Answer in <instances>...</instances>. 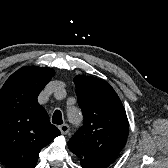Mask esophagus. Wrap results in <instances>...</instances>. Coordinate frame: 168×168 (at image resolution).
Segmentation results:
<instances>
[{
	"mask_svg": "<svg viewBox=\"0 0 168 168\" xmlns=\"http://www.w3.org/2000/svg\"><path fill=\"white\" fill-rule=\"evenodd\" d=\"M59 129L63 134H67L69 132V126L67 124L60 125Z\"/></svg>",
	"mask_w": 168,
	"mask_h": 168,
	"instance_id": "34e87169",
	"label": "esophagus"
}]
</instances>
